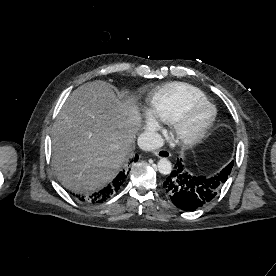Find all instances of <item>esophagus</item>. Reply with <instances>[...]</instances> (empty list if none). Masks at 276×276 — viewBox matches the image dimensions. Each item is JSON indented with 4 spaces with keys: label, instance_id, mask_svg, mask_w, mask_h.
I'll return each mask as SVG.
<instances>
[{
    "label": "esophagus",
    "instance_id": "1",
    "mask_svg": "<svg viewBox=\"0 0 276 276\" xmlns=\"http://www.w3.org/2000/svg\"><path fill=\"white\" fill-rule=\"evenodd\" d=\"M154 154L159 158H170L171 153L168 150L160 149L154 152Z\"/></svg>",
    "mask_w": 276,
    "mask_h": 276
}]
</instances>
